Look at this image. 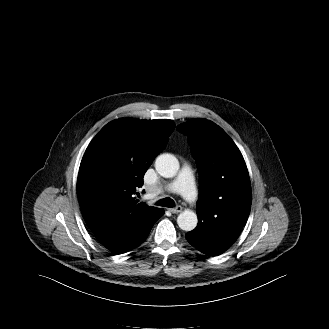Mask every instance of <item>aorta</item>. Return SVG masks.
I'll return each instance as SVG.
<instances>
[{
	"label": "aorta",
	"instance_id": "1",
	"mask_svg": "<svg viewBox=\"0 0 329 329\" xmlns=\"http://www.w3.org/2000/svg\"><path fill=\"white\" fill-rule=\"evenodd\" d=\"M179 167L178 159L172 154H161L155 160L156 171L165 178H172L176 176ZM197 223V215L191 210H184L177 217V224L179 228L184 231H192L196 228Z\"/></svg>",
	"mask_w": 329,
	"mask_h": 329
}]
</instances>
